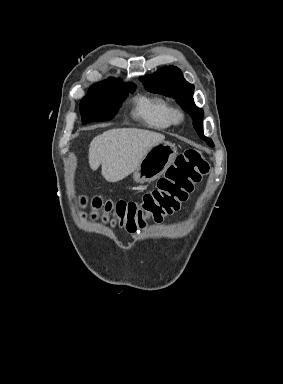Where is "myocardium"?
<instances>
[{
    "instance_id": "myocardium-1",
    "label": "myocardium",
    "mask_w": 283,
    "mask_h": 384,
    "mask_svg": "<svg viewBox=\"0 0 283 384\" xmlns=\"http://www.w3.org/2000/svg\"><path fill=\"white\" fill-rule=\"evenodd\" d=\"M169 120L172 124H180L184 120V113L183 111L178 107H170L169 109Z\"/></svg>"
}]
</instances>
